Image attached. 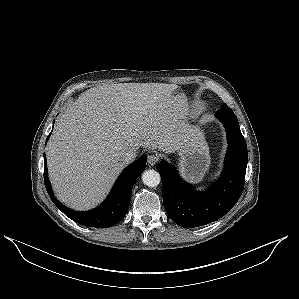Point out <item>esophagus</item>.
I'll list each match as a JSON object with an SVG mask.
<instances>
[{
  "instance_id": "1",
  "label": "esophagus",
  "mask_w": 299,
  "mask_h": 299,
  "mask_svg": "<svg viewBox=\"0 0 299 299\" xmlns=\"http://www.w3.org/2000/svg\"><path fill=\"white\" fill-rule=\"evenodd\" d=\"M158 161V157L154 154L148 155L147 162L150 166H154Z\"/></svg>"
}]
</instances>
